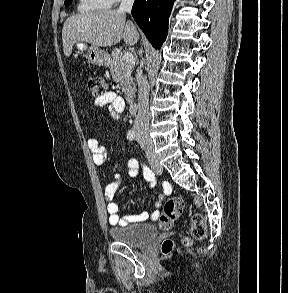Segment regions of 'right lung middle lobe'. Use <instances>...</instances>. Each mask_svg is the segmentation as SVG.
Returning <instances> with one entry per match:
<instances>
[{"instance_id":"right-lung-middle-lobe-1","label":"right lung middle lobe","mask_w":288,"mask_h":293,"mask_svg":"<svg viewBox=\"0 0 288 293\" xmlns=\"http://www.w3.org/2000/svg\"><path fill=\"white\" fill-rule=\"evenodd\" d=\"M71 2L72 0H65V5L68 6Z\"/></svg>"}]
</instances>
